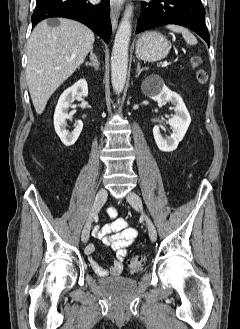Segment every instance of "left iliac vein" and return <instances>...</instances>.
<instances>
[{
	"instance_id": "obj_1",
	"label": "left iliac vein",
	"mask_w": 240,
	"mask_h": 329,
	"mask_svg": "<svg viewBox=\"0 0 240 329\" xmlns=\"http://www.w3.org/2000/svg\"><path fill=\"white\" fill-rule=\"evenodd\" d=\"M127 201L135 210L142 211L143 206H142L141 198L135 192L131 191L128 193ZM145 220H146V225L148 228L149 237L152 242H155L157 239V231H156L153 223L147 216H145Z\"/></svg>"
}]
</instances>
